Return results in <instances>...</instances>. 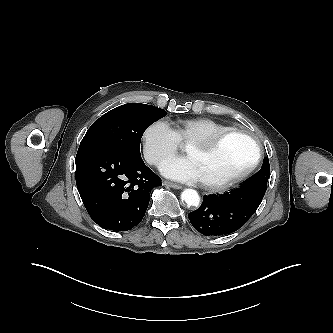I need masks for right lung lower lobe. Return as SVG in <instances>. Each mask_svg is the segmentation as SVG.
<instances>
[{"label":"right lung lower lobe","instance_id":"right-lung-lower-lobe-1","mask_svg":"<svg viewBox=\"0 0 333 333\" xmlns=\"http://www.w3.org/2000/svg\"><path fill=\"white\" fill-rule=\"evenodd\" d=\"M75 162L78 191L96 224L127 231L141 222L150 190L161 185L141 156L107 146L83 147Z\"/></svg>","mask_w":333,"mask_h":333}]
</instances>
